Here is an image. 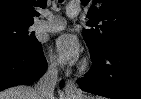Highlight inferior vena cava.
I'll return each instance as SVG.
<instances>
[{
	"instance_id": "1",
	"label": "inferior vena cava",
	"mask_w": 141,
	"mask_h": 99,
	"mask_svg": "<svg viewBox=\"0 0 141 99\" xmlns=\"http://www.w3.org/2000/svg\"><path fill=\"white\" fill-rule=\"evenodd\" d=\"M58 82V68L55 64L49 65L44 75L34 86L38 99H54V89Z\"/></svg>"
}]
</instances>
